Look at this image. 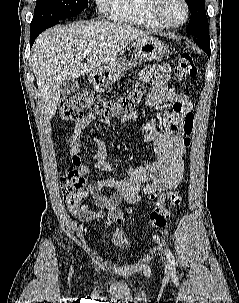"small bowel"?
<instances>
[{
    "label": "small bowel",
    "mask_w": 239,
    "mask_h": 303,
    "mask_svg": "<svg viewBox=\"0 0 239 303\" xmlns=\"http://www.w3.org/2000/svg\"><path fill=\"white\" fill-rule=\"evenodd\" d=\"M170 66L161 64L151 66L140 74L142 83L151 86L147 96V106L156 107L162 103H169L172 110L163 116L164 131L158 129L152 120H142L137 116L130 119L138 120L144 130L145 139L152 144L156 158L153 162L131 168L127 177H106L90 183L80 192L75 204L69 206L70 213L82 222H91L106 217L104 227L123 222V214L118 208L124 199L129 203H137L145 195L154 199L159 194L176 188L183 178L184 155L186 152L182 140V123L180 116L189 109L188 98L168 86ZM97 117L89 112L83 116L68 138L69 154L76 170L86 175L96 169L112 173L115 168L106 161L108 144L98 139V148L93 155V162L86 164L81 157L82 136L89 127L97 121ZM104 188L113 189V194H103ZM92 197L99 210L89 209L85 199ZM108 210V214H105Z\"/></svg>",
    "instance_id": "c3829d8e"
}]
</instances>
